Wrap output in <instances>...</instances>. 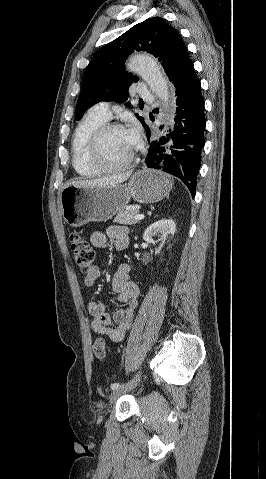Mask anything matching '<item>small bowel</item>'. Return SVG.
Segmentation results:
<instances>
[{
	"mask_svg": "<svg viewBox=\"0 0 266 479\" xmlns=\"http://www.w3.org/2000/svg\"><path fill=\"white\" fill-rule=\"evenodd\" d=\"M113 242L116 250H123L129 244L128 229L125 226H111L106 232L95 231L91 235L93 246L101 248L107 245L108 241ZM131 267L128 264H121L112 279V289L116 293L117 302L120 308L110 313L105 304L99 300H93L88 305L92 317L90 329L94 334L106 335L113 342L123 340L125 333L130 329L140 294L139 286L130 279ZM100 276V270L94 266L84 277V284L90 288Z\"/></svg>",
	"mask_w": 266,
	"mask_h": 479,
	"instance_id": "c3829d8e",
	"label": "small bowel"
}]
</instances>
